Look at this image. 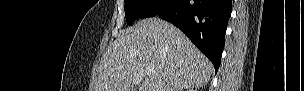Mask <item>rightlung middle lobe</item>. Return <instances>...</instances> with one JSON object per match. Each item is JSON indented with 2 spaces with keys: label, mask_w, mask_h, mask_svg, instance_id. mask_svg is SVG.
Listing matches in <instances>:
<instances>
[{
  "label": "right lung middle lobe",
  "mask_w": 304,
  "mask_h": 91,
  "mask_svg": "<svg viewBox=\"0 0 304 91\" xmlns=\"http://www.w3.org/2000/svg\"><path fill=\"white\" fill-rule=\"evenodd\" d=\"M168 3L169 0H125L126 21L132 25L135 19L154 17Z\"/></svg>",
  "instance_id": "dd1d6c3e"
}]
</instances>
